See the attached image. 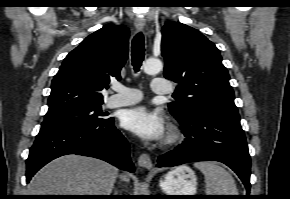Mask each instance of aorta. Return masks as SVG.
Here are the masks:
<instances>
[{
  "label": "aorta",
  "mask_w": 290,
  "mask_h": 199,
  "mask_svg": "<svg viewBox=\"0 0 290 199\" xmlns=\"http://www.w3.org/2000/svg\"><path fill=\"white\" fill-rule=\"evenodd\" d=\"M142 67L146 74L154 75L163 69V64L157 58H149L143 63Z\"/></svg>",
  "instance_id": "obj_1"
}]
</instances>
